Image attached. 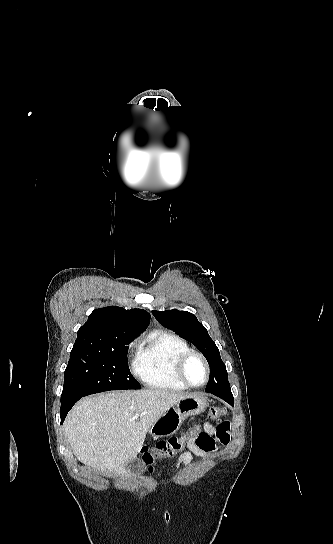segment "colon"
I'll return each mask as SVG.
<instances>
[{
  "label": "colon",
  "mask_w": 333,
  "mask_h": 544,
  "mask_svg": "<svg viewBox=\"0 0 333 544\" xmlns=\"http://www.w3.org/2000/svg\"><path fill=\"white\" fill-rule=\"evenodd\" d=\"M225 413L226 409L224 407H211L208 411V415L211 419H218ZM199 434L201 433H198V429L193 428L181 437H172L168 440L159 441L151 448L144 447L141 450V459L148 467L149 471H151L157 460L173 457L184 448L185 444L191 438H194Z\"/></svg>",
  "instance_id": "colon-1"
}]
</instances>
